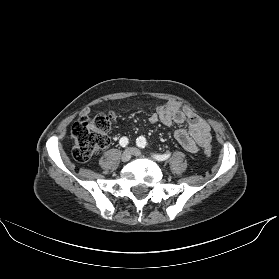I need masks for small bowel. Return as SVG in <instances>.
I'll return each mask as SVG.
<instances>
[{"label": "small bowel", "mask_w": 279, "mask_h": 279, "mask_svg": "<svg viewBox=\"0 0 279 279\" xmlns=\"http://www.w3.org/2000/svg\"><path fill=\"white\" fill-rule=\"evenodd\" d=\"M83 114H89V112L84 111ZM148 120L151 124L160 122L166 126L182 125L186 122L188 129L177 128L174 136L178 143L189 152L196 153L200 148L205 149L210 146L211 132L207 122L179 101L157 104L155 113L150 115Z\"/></svg>", "instance_id": "c3829d8e"}]
</instances>
